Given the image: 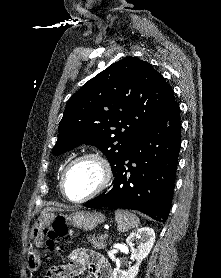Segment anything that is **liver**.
Masks as SVG:
<instances>
[{"mask_svg":"<svg viewBox=\"0 0 221 278\" xmlns=\"http://www.w3.org/2000/svg\"><path fill=\"white\" fill-rule=\"evenodd\" d=\"M55 210L54 208H46L43 210L42 214L48 213L49 211Z\"/></svg>","mask_w":221,"mask_h":278,"instance_id":"6515ba94","label":"liver"}]
</instances>
